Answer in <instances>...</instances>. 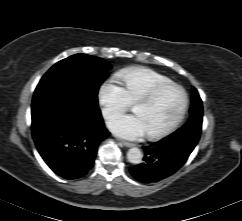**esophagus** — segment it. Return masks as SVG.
Masks as SVG:
<instances>
[{"label": "esophagus", "mask_w": 242, "mask_h": 221, "mask_svg": "<svg viewBox=\"0 0 242 221\" xmlns=\"http://www.w3.org/2000/svg\"><path fill=\"white\" fill-rule=\"evenodd\" d=\"M118 141H119L120 144H122L125 147H133L134 146V144L127 142V141H124V140H121V139H119Z\"/></svg>", "instance_id": "1"}]
</instances>
